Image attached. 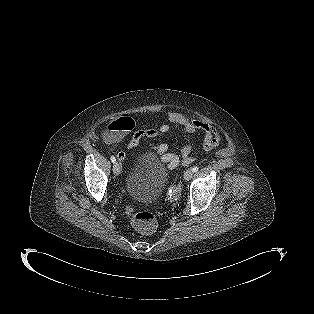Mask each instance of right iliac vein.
<instances>
[{"instance_id": "1", "label": "right iliac vein", "mask_w": 314, "mask_h": 314, "mask_svg": "<svg viewBox=\"0 0 314 314\" xmlns=\"http://www.w3.org/2000/svg\"><path fill=\"white\" fill-rule=\"evenodd\" d=\"M113 172L116 176H118L121 172V168L118 162H115L113 165Z\"/></svg>"}]
</instances>
